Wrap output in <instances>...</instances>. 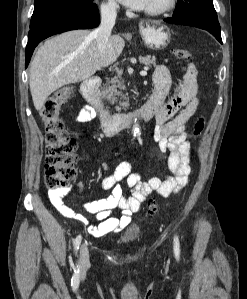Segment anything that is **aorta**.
<instances>
[{
	"instance_id": "aorta-1",
	"label": "aorta",
	"mask_w": 247,
	"mask_h": 299,
	"mask_svg": "<svg viewBox=\"0 0 247 299\" xmlns=\"http://www.w3.org/2000/svg\"><path fill=\"white\" fill-rule=\"evenodd\" d=\"M132 134L134 136H139L141 134V128L138 122H135L132 126Z\"/></svg>"
}]
</instances>
